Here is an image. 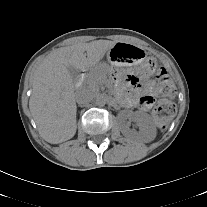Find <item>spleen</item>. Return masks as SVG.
<instances>
[{"label": "spleen", "instance_id": "1", "mask_svg": "<svg viewBox=\"0 0 207 207\" xmlns=\"http://www.w3.org/2000/svg\"><path fill=\"white\" fill-rule=\"evenodd\" d=\"M173 119V116L170 115L168 118H167V121H166V124H169Z\"/></svg>", "mask_w": 207, "mask_h": 207}]
</instances>
